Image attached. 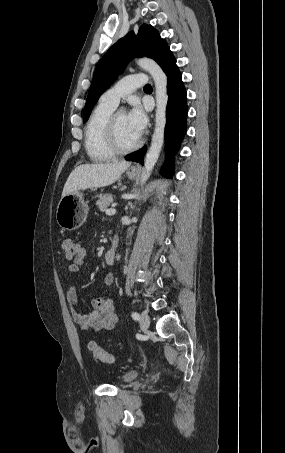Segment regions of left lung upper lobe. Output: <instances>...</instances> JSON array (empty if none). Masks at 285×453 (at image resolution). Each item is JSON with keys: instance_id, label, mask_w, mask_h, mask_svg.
<instances>
[{"instance_id": "1", "label": "left lung upper lobe", "mask_w": 285, "mask_h": 453, "mask_svg": "<svg viewBox=\"0 0 285 453\" xmlns=\"http://www.w3.org/2000/svg\"><path fill=\"white\" fill-rule=\"evenodd\" d=\"M170 48L151 25H142L135 35L129 32L112 45L99 61L89 89L84 108L85 123L100 95L115 81L133 57H149L157 63Z\"/></svg>"}]
</instances>
